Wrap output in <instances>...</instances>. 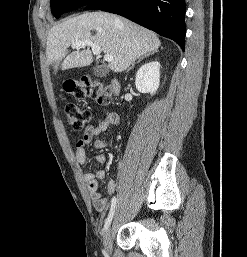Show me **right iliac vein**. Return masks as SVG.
<instances>
[{
    "mask_svg": "<svg viewBox=\"0 0 247 257\" xmlns=\"http://www.w3.org/2000/svg\"><path fill=\"white\" fill-rule=\"evenodd\" d=\"M103 246L106 255H110L112 250V229L108 227L103 235Z\"/></svg>",
    "mask_w": 247,
    "mask_h": 257,
    "instance_id": "obj_1",
    "label": "right iliac vein"
}]
</instances>
